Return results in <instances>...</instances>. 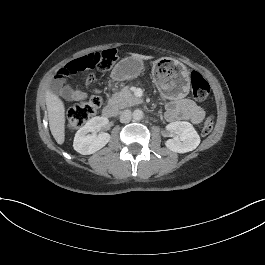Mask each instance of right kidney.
Instances as JSON below:
<instances>
[{"label":"right kidney","mask_w":265,"mask_h":265,"mask_svg":"<svg viewBox=\"0 0 265 265\" xmlns=\"http://www.w3.org/2000/svg\"><path fill=\"white\" fill-rule=\"evenodd\" d=\"M105 117H94L80 128L74 138V150L81 155H92L105 147L111 140L108 133L97 134L107 124Z\"/></svg>","instance_id":"right-kidney-1"}]
</instances>
